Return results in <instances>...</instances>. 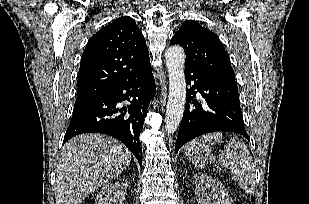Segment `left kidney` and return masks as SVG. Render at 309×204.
Listing matches in <instances>:
<instances>
[{
	"mask_svg": "<svg viewBox=\"0 0 309 204\" xmlns=\"http://www.w3.org/2000/svg\"><path fill=\"white\" fill-rule=\"evenodd\" d=\"M195 196L198 204H234L223 184L205 174L194 175ZM209 193L207 190H210Z\"/></svg>",
	"mask_w": 309,
	"mask_h": 204,
	"instance_id": "5707ae66",
	"label": "left kidney"
}]
</instances>
